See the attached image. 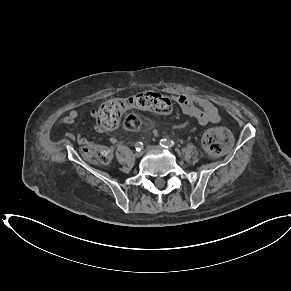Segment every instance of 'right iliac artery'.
I'll return each mask as SVG.
<instances>
[{
  "instance_id": "1",
  "label": "right iliac artery",
  "mask_w": 291,
  "mask_h": 291,
  "mask_svg": "<svg viewBox=\"0 0 291 291\" xmlns=\"http://www.w3.org/2000/svg\"><path fill=\"white\" fill-rule=\"evenodd\" d=\"M135 148H136V151H141V149L143 148V143L142 142H137L135 144Z\"/></svg>"
}]
</instances>
